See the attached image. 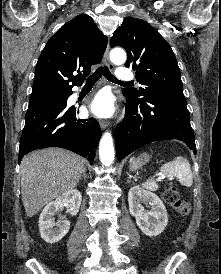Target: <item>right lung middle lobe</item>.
Here are the masks:
<instances>
[{
	"instance_id": "1",
	"label": "right lung middle lobe",
	"mask_w": 221,
	"mask_h": 274,
	"mask_svg": "<svg viewBox=\"0 0 221 274\" xmlns=\"http://www.w3.org/2000/svg\"><path fill=\"white\" fill-rule=\"evenodd\" d=\"M66 97H67V95H58V96H53V97H49V98H45V99L33 100V101H30L29 106L44 104V103L52 102L55 100L64 99Z\"/></svg>"
}]
</instances>
